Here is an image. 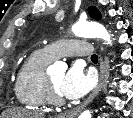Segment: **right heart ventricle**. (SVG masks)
<instances>
[{
    "label": "right heart ventricle",
    "instance_id": "obj_1",
    "mask_svg": "<svg viewBox=\"0 0 133 118\" xmlns=\"http://www.w3.org/2000/svg\"><path fill=\"white\" fill-rule=\"evenodd\" d=\"M52 61L43 50L34 51L21 66L15 83L14 94L19 104L27 109L45 106L46 66Z\"/></svg>",
    "mask_w": 133,
    "mask_h": 118
}]
</instances>
